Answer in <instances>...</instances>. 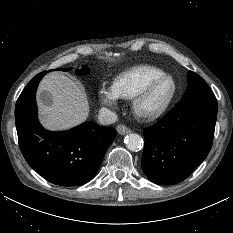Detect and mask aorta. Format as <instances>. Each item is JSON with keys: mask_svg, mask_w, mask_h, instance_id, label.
I'll list each match as a JSON object with an SVG mask.
<instances>
[{"mask_svg": "<svg viewBox=\"0 0 233 233\" xmlns=\"http://www.w3.org/2000/svg\"><path fill=\"white\" fill-rule=\"evenodd\" d=\"M126 147L130 151H138L143 146V139L139 134L136 133H130L125 137L124 140Z\"/></svg>", "mask_w": 233, "mask_h": 233, "instance_id": "1", "label": "aorta"}]
</instances>
